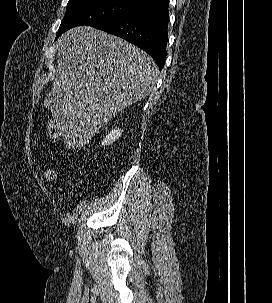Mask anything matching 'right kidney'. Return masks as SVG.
I'll list each match as a JSON object with an SVG mask.
<instances>
[{"label":"right kidney","instance_id":"ca27d5eb","mask_svg":"<svg viewBox=\"0 0 272 303\" xmlns=\"http://www.w3.org/2000/svg\"><path fill=\"white\" fill-rule=\"evenodd\" d=\"M123 130L119 128H114L106 135V137L102 140V146H107L115 142L117 139L121 137Z\"/></svg>","mask_w":272,"mask_h":303}]
</instances>
